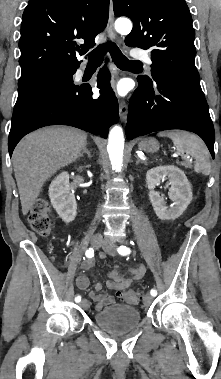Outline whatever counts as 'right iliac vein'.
<instances>
[{"label":"right iliac vein","instance_id":"right-iliac-vein-1","mask_svg":"<svg viewBox=\"0 0 221 379\" xmlns=\"http://www.w3.org/2000/svg\"><path fill=\"white\" fill-rule=\"evenodd\" d=\"M103 243H104V240H103L102 236H100V235H95L92 238V246L95 249H98ZM80 306L83 308H87L88 307V301L86 299H83L80 303Z\"/></svg>","mask_w":221,"mask_h":379}]
</instances>
